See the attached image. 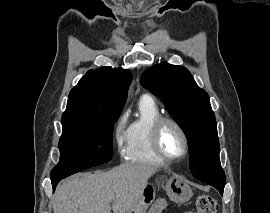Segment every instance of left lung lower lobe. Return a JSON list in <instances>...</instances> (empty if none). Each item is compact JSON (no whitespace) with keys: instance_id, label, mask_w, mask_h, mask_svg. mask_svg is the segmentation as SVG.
<instances>
[{"instance_id":"left-lung-lower-lobe-1","label":"left lung lower lobe","mask_w":270,"mask_h":213,"mask_svg":"<svg viewBox=\"0 0 270 213\" xmlns=\"http://www.w3.org/2000/svg\"><path fill=\"white\" fill-rule=\"evenodd\" d=\"M190 171H191V173H192L196 178L198 177V174H197L195 168H193V167L190 166ZM199 180H200V179H199ZM219 192L221 193V195H223V190H219Z\"/></svg>"}]
</instances>
